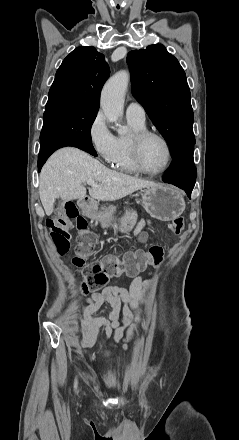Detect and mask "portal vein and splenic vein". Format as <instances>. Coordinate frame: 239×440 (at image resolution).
<instances>
[{"instance_id": "1", "label": "portal vein and splenic vein", "mask_w": 239, "mask_h": 440, "mask_svg": "<svg viewBox=\"0 0 239 440\" xmlns=\"http://www.w3.org/2000/svg\"><path fill=\"white\" fill-rule=\"evenodd\" d=\"M88 186H92V188H98L97 184H95L94 180H87Z\"/></svg>"}]
</instances>
